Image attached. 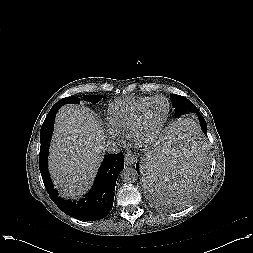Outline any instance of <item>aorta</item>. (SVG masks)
<instances>
[{
  "mask_svg": "<svg viewBox=\"0 0 253 253\" xmlns=\"http://www.w3.org/2000/svg\"><path fill=\"white\" fill-rule=\"evenodd\" d=\"M121 178L126 183H133L138 178L137 171L132 167H126L121 172Z\"/></svg>",
  "mask_w": 253,
  "mask_h": 253,
  "instance_id": "762f6f07",
  "label": "aorta"
}]
</instances>
